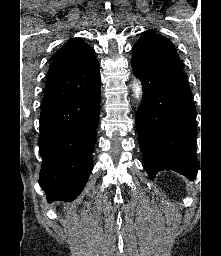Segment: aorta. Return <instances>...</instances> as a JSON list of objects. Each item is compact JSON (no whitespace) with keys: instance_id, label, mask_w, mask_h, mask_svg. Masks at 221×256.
Wrapping results in <instances>:
<instances>
[{"instance_id":"obj_1","label":"aorta","mask_w":221,"mask_h":256,"mask_svg":"<svg viewBox=\"0 0 221 256\" xmlns=\"http://www.w3.org/2000/svg\"><path fill=\"white\" fill-rule=\"evenodd\" d=\"M133 92L136 96V98H139L141 93H142V89L139 83H134L133 84Z\"/></svg>"}]
</instances>
